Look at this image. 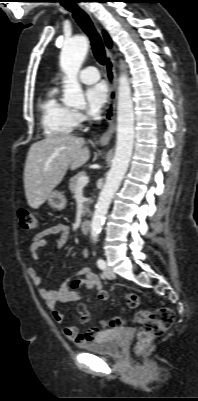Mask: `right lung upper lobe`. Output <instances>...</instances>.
Masks as SVG:
<instances>
[{
	"instance_id": "1",
	"label": "right lung upper lobe",
	"mask_w": 198,
	"mask_h": 401,
	"mask_svg": "<svg viewBox=\"0 0 198 401\" xmlns=\"http://www.w3.org/2000/svg\"><path fill=\"white\" fill-rule=\"evenodd\" d=\"M103 34H104V37H105L106 45H107L108 47H111V40H110V38L108 37V35H107L105 32H104Z\"/></svg>"
}]
</instances>
